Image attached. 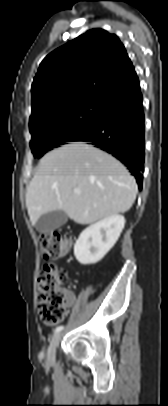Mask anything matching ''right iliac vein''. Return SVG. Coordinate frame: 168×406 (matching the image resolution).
<instances>
[{
  "instance_id": "right-iliac-vein-1",
  "label": "right iliac vein",
  "mask_w": 168,
  "mask_h": 406,
  "mask_svg": "<svg viewBox=\"0 0 168 406\" xmlns=\"http://www.w3.org/2000/svg\"><path fill=\"white\" fill-rule=\"evenodd\" d=\"M61 338V333L57 332L53 335L51 341H50V345L48 347V351H47V357L49 361H53L55 358V353H56V348L59 344Z\"/></svg>"
}]
</instances>
